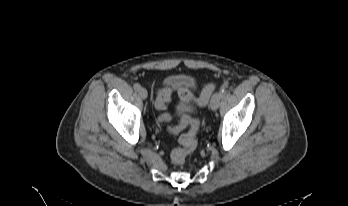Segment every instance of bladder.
<instances>
[{
	"instance_id": "31cf9c89",
	"label": "bladder",
	"mask_w": 348,
	"mask_h": 206,
	"mask_svg": "<svg viewBox=\"0 0 348 206\" xmlns=\"http://www.w3.org/2000/svg\"><path fill=\"white\" fill-rule=\"evenodd\" d=\"M168 87L174 92H181L183 90L191 91L195 87V81L190 76L184 75H169L164 79ZM194 108L193 97L189 99L181 97V102L176 108L175 113L177 115L190 112Z\"/></svg>"
}]
</instances>
